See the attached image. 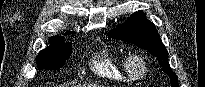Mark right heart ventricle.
I'll return each instance as SVG.
<instances>
[{"label":"right heart ventricle","instance_id":"right-heart-ventricle-1","mask_svg":"<svg viewBox=\"0 0 205 87\" xmlns=\"http://www.w3.org/2000/svg\"><path fill=\"white\" fill-rule=\"evenodd\" d=\"M92 69L98 76L113 81L132 82L135 79L127 67L126 58L109 50L100 52L93 59Z\"/></svg>","mask_w":205,"mask_h":87}]
</instances>
